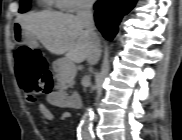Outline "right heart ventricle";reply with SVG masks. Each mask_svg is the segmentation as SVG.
<instances>
[{
    "label": "right heart ventricle",
    "mask_w": 182,
    "mask_h": 140,
    "mask_svg": "<svg viewBox=\"0 0 182 140\" xmlns=\"http://www.w3.org/2000/svg\"><path fill=\"white\" fill-rule=\"evenodd\" d=\"M48 5L49 6H56V7H60L61 5V1L60 0H51V1H47Z\"/></svg>",
    "instance_id": "1"
}]
</instances>
